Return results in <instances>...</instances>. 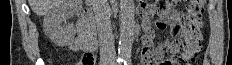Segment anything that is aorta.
Here are the masks:
<instances>
[{
	"mask_svg": "<svg viewBox=\"0 0 232 65\" xmlns=\"http://www.w3.org/2000/svg\"><path fill=\"white\" fill-rule=\"evenodd\" d=\"M135 28V8L133 0H120V38L118 54L120 58L131 56Z\"/></svg>",
	"mask_w": 232,
	"mask_h": 65,
	"instance_id": "762f6f07",
	"label": "aorta"
}]
</instances>
